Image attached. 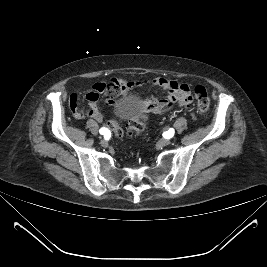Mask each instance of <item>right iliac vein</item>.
I'll list each match as a JSON object with an SVG mask.
<instances>
[{
  "label": "right iliac vein",
  "mask_w": 267,
  "mask_h": 267,
  "mask_svg": "<svg viewBox=\"0 0 267 267\" xmlns=\"http://www.w3.org/2000/svg\"><path fill=\"white\" fill-rule=\"evenodd\" d=\"M100 144H101V146H103V147H107V146H108V142H107L105 139H102V140L100 141Z\"/></svg>",
  "instance_id": "63e3f726"
}]
</instances>
